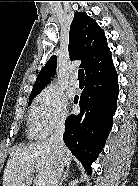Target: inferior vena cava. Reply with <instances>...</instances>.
<instances>
[{"label":"inferior vena cava","mask_w":138,"mask_h":186,"mask_svg":"<svg viewBox=\"0 0 138 186\" xmlns=\"http://www.w3.org/2000/svg\"><path fill=\"white\" fill-rule=\"evenodd\" d=\"M65 132L64 122H60L51 137L49 138V144L53 148L56 156L57 162L55 163L54 169L51 173L48 186H59V181L64 169V151L65 145L63 141V135Z\"/></svg>","instance_id":"inferior-vena-cava-1"}]
</instances>
